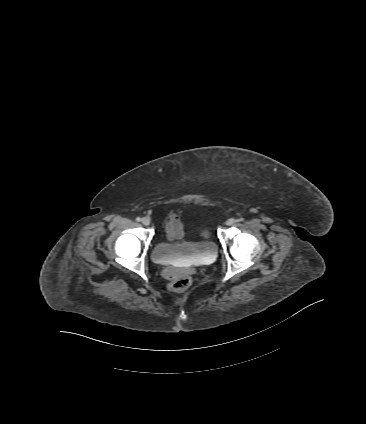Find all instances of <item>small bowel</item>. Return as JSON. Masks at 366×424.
Masks as SVG:
<instances>
[{
	"label": "small bowel",
	"instance_id": "1",
	"mask_svg": "<svg viewBox=\"0 0 366 424\" xmlns=\"http://www.w3.org/2000/svg\"><path fill=\"white\" fill-rule=\"evenodd\" d=\"M166 233L170 239H181L183 237V226L179 214L174 212L168 214Z\"/></svg>",
	"mask_w": 366,
	"mask_h": 424
}]
</instances>
